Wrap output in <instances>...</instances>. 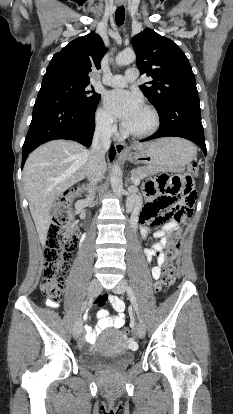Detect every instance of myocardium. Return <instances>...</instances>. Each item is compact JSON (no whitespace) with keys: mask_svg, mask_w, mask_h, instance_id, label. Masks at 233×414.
<instances>
[{"mask_svg":"<svg viewBox=\"0 0 233 414\" xmlns=\"http://www.w3.org/2000/svg\"><path fill=\"white\" fill-rule=\"evenodd\" d=\"M143 109H145L151 116H152V125L149 129H147L146 131L143 132H135L132 131L130 129H128L125 125L123 126V132L124 134L133 137V138H137V139H142V138H147L151 135H153L160 127V116L158 111L149 105H145L143 106Z\"/></svg>","mask_w":233,"mask_h":414,"instance_id":"f54148a6","label":"myocardium"}]
</instances>
